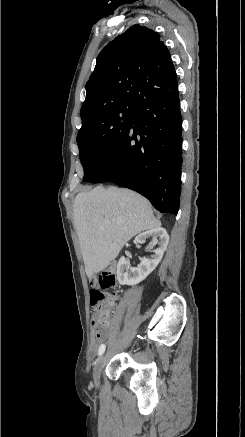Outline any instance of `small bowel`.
<instances>
[{"label": "small bowel", "instance_id": "1", "mask_svg": "<svg viewBox=\"0 0 245 437\" xmlns=\"http://www.w3.org/2000/svg\"><path fill=\"white\" fill-rule=\"evenodd\" d=\"M92 326H93V324H92ZM93 328H94V326H93ZM107 335H108V332L106 333V335L104 336V337H102V338H95L94 336H93V338H92V346L93 347H96L97 346V344L102 340V339H104V338H106L107 337Z\"/></svg>", "mask_w": 245, "mask_h": 437}]
</instances>
